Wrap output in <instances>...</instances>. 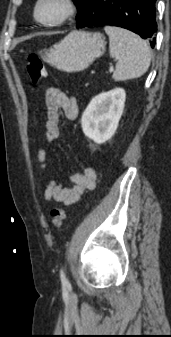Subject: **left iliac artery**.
I'll use <instances>...</instances> for the list:
<instances>
[{
    "mask_svg": "<svg viewBox=\"0 0 171 337\" xmlns=\"http://www.w3.org/2000/svg\"><path fill=\"white\" fill-rule=\"evenodd\" d=\"M60 278H61V282L63 284H68L69 283L68 280H67V278H66V276H65V273H64L63 269L60 270Z\"/></svg>",
    "mask_w": 171,
    "mask_h": 337,
    "instance_id": "44dca946",
    "label": "left iliac artery"
}]
</instances>
